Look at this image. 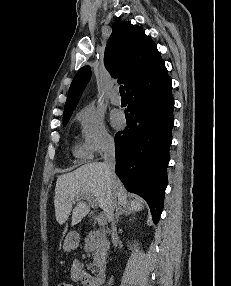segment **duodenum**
I'll list each match as a JSON object with an SVG mask.
<instances>
[{
    "label": "duodenum",
    "instance_id": "1",
    "mask_svg": "<svg viewBox=\"0 0 231 286\" xmlns=\"http://www.w3.org/2000/svg\"><path fill=\"white\" fill-rule=\"evenodd\" d=\"M106 280V271L105 269H99L96 274V282L98 285L103 284Z\"/></svg>",
    "mask_w": 231,
    "mask_h": 286
}]
</instances>
